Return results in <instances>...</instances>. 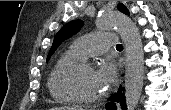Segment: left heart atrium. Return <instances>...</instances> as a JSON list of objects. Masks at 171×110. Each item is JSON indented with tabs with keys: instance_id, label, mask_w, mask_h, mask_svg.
Here are the masks:
<instances>
[{
	"instance_id": "obj_1",
	"label": "left heart atrium",
	"mask_w": 171,
	"mask_h": 110,
	"mask_svg": "<svg viewBox=\"0 0 171 110\" xmlns=\"http://www.w3.org/2000/svg\"><path fill=\"white\" fill-rule=\"evenodd\" d=\"M95 72L105 89H108L116 81L117 68L112 62L102 63Z\"/></svg>"
}]
</instances>
